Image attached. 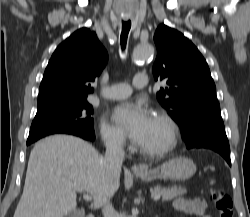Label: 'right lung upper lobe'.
Returning a JSON list of instances; mask_svg holds the SVG:
<instances>
[{"label":"right lung upper lobe","instance_id":"right-lung-upper-lobe-1","mask_svg":"<svg viewBox=\"0 0 250 217\" xmlns=\"http://www.w3.org/2000/svg\"><path fill=\"white\" fill-rule=\"evenodd\" d=\"M108 59L96 33L81 28L53 53L39 89L37 110L58 104L87 100L95 80Z\"/></svg>","mask_w":250,"mask_h":217}]
</instances>
